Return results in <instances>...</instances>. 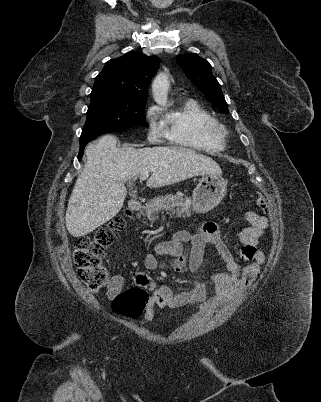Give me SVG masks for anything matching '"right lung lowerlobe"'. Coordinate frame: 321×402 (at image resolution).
Wrapping results in <instances>:
<instances>
[{
	"label": "right lung lower lobe",
	"instance_id": "obj_1",
	"mask_svg": "<svg viewBox=\"0 0 321 402\" xmlns=\"http://www.w3.org/2000/svg\"><path fill=\"white\" fill-rule=\"evenodd\" d=\"M94 138L92 137H85V138H80V150H79V155H78V159L80 160L83 156V151L85 146Z\"/></svg>",
	"mask_w": 321,
	"mask_h": 402
}]
</instances>
